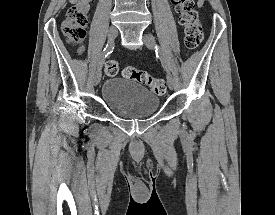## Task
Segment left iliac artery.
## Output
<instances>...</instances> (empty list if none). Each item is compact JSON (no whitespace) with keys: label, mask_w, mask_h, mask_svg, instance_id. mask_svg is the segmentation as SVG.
Wrapping results in <instances>:
<instances>
[{"label":"left iliac artery","mask_w":275,"mask_h":215,"mask_svg":"<svg viewBox=\"0 0 275 215\" xmlns=\"http://www.w3.org/2000/svg\"><path fill=\"white\" fill-rule=\"evenodd\" d=\"M155 48H156V55H157L158 57H160L164 69H165L166 71H168L169 67H168V63H167V61H166V59H165L164 53L162 52V50H161L158 46H155Z\"/></svg>","instance_id":"1"}]
</instances>
